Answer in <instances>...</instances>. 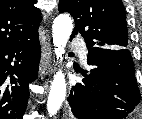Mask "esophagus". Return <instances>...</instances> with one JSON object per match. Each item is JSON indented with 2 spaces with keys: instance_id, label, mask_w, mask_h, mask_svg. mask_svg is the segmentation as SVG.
Here are the masks:
<instances>
[{
  "instance_id": "1",
  "label": "esophagus",
  "mask_w": 142,
  "mask_h": 119,
  "mask_svg": "<svg viewBox=\"0 0 142 119\" xmlns=\"http://www.w3.org/2000/svg\"><path fill=\"white\" fill-rule=\"evenodd\" d=\"M51 55V45L49 42H46L42 50L41 61L39 66L41 79L51 74Z\"/></svg>"
}]
</instances>
